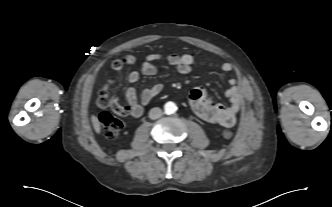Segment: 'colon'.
<instances>
[{"mask_svg": "<svg viewBox=\"0 0 332 207\" xmlns=\"http://www.w3.org/2000/svg\"><path fill=\"white\" fill-rule=\"evenodd\" d=\"M132 57L127 56L122 59L116 60L113 62L112 67L115 70H119L125 64H131ZM109 87L110 85L106 83L102 87L99 88L97 92V105L102 109L111 108L113 112L118 115H124L127 113V108L119 104L117 99L110 98L109 96ZM100 121L103 125L104 132L107 138L115 139L119 136L123 129V123L117 117H115L112 113L104 110L100 114ZM222 136L225 139H231L233 137V133L230 130H224L222 132Z\"/></svg>", "mask_w": 332, "mask_h": 207, "instance_id": "obj_1", "label": "colon"}]
</instances>
